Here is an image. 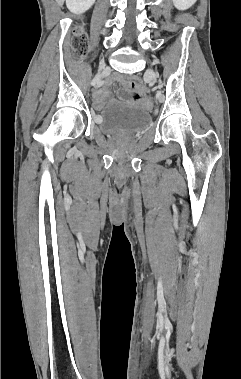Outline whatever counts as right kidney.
<instances>
[{"mask_svg":"<svg viewBox=\"0 0 241 379\" xmlns=\"http://www.w3.org/2000/svg\"><path fill=\"white\" fill-rule=\"evenodd\" d=\"M95 0H66L67 8L75 14H80L87 11Z\"/></svg>","mask_w":241,"mask_h":379,"instance_id":"ca27d5eb","label":"right kidney"}]
</instances>
